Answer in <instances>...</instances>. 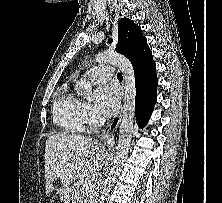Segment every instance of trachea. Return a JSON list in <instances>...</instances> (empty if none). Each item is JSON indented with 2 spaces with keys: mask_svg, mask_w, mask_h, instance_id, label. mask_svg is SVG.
<instances>
[{
  "mask_svg": "<svg viewBox=\"0 0 222 203\" xmlns=\"http://www.w3.org/2000/svg\"><path fill=\"white\" fill-rule=\"evenodd\" d=\"M117 78H118V79H122V78H123L122 74H121V73H118V74H117Z\"/></svg>",
  "mask_w": 222,
  "mask_h": 203,
  "instance_id": "3493384b",
  "label": "trachea"
}]
</instances>
